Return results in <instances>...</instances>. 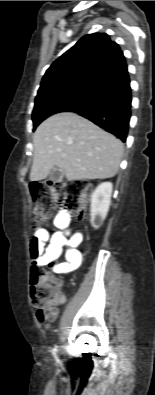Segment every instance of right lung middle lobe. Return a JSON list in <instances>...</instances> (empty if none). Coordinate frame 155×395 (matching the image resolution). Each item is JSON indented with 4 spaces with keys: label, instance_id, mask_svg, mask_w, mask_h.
<instances>
[{
    "label": "right lung middle lobe",
    "instance_id": "1",
    "mask_svg": "<svg viewBox=\"0 0 155 395\" xmlns=\"http://www.w3.org/2000/svg\"><path fill=\"white\" fill-rule=\"evenodd\" d=\"M101 84L85 80L56 84L38 91L32 113L34 129L54 113L65 111L99 88Z\"/></svg>",
    "mask_w": 155,
    "mask_h": 395
}]
</instances>
